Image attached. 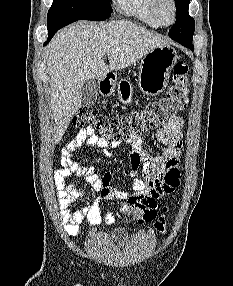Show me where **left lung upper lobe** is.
Returning <instances> with one entry per match:
<instances>
[{
    "instance_id": "left-lung-upper-lobe-1",
    "label": "left lung upper lobe",
    "mask_w": 233,
    "mask_h": 286,
    "mask_svg": "<svg viewBox=\"0 0 233 286\" xmlns=\"http://www.w3.org/2000/svg\"><path fill=\"white\" fill-rule=\"evenodd\" d=\"M190 0H175L177 20L169 31V37L175 41L191 40L194 34L195 21L188 14Z\"/></svg>"
}]
</instances>
